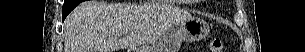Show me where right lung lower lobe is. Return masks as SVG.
Here are the masks:
<instances>
[{
    "label": "right lung lower lobe",
    "mask_w": 305,
    "mask_h": 52,
    "mask_svg": "<svg viewBox=\"0 0 305 52\" xmlns=\"http://www.w3.org/2000/svg\"><path fill=\"white\" fill-rule=\"evenodd\" d=\"M74 6H69V5H63L62 9V19L64 20L66 16L74 9Z\"/></svg>",
    "instance_id": "obj_1"
}]
</instances>
